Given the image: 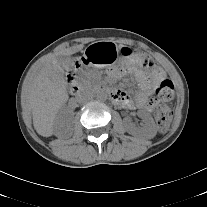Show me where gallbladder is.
I'll list each match as a JSON object with an SVG mask.
<instances>
[{"mask_svg":"<svg viewBox=\"0 0 207 207\" xmlns=\"http://www.w3.org/2000/svg\"><path fill=\"white\" fill-rule=\"evenodd\" d=\"M70 59H71L70 57L63 56V55H60L56 58L58 64L61 66H66L68 64V62L70 61Z\"/></svg>","mask_w":207,"mask_h":207,"instance_id":"1","label":"gallbladder"}]
</instances>
